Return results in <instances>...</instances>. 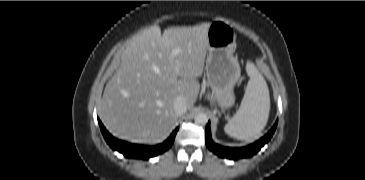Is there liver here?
<instances>
[{
	"instance_id": "liver-1",
	"label": "liver",
	"mask_w": 365,
	"mask_h": 180,
	"mask_svg": "<svg viewBox=\"0 0 365 180\" xmlns=\"http://www.w3.org/2000/svg\"><path fill=\"white\" fill-rule=\"evenodd\" d=\"M208 27L209 23L171 27L163 33L151 27L132 39L101 102L103 123L114 136L156 143L177 121V97L184 99L188 110L193 108L208 50ZM174 49L180 52L172 57Z\"/></svg>"
}]
</instances>
